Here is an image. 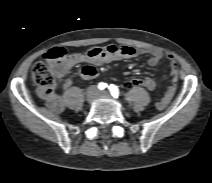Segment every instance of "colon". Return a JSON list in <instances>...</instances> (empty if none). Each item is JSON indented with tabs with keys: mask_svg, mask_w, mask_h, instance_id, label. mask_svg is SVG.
I'll return each instance as SVG.
<instances>
[{
	"mask_svg": "<svg viewBox=\"0 0 212 183\" xmlns=\"http://www.w3.org/2000/svg\"><path fill=\"white\" fill-rule=\"evenodd\" d=\"M67 56V51L63 47H55L49 49L44 54V61L35 63L32 68V79L40 87L48 88L53 85L55 80V74L53 66L62 61ZM125 88L130 89L133 87L148 88L149 83L146 79L132 78L125 82Z\"/></svg>",
	"mask_w": 212,
	"mask_h": 183,
	"instance_id": "1",
	"label": "colon"
}]
</instances>
